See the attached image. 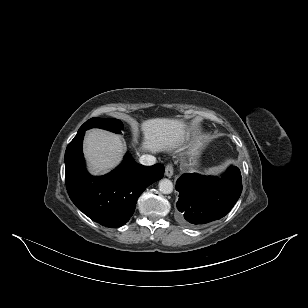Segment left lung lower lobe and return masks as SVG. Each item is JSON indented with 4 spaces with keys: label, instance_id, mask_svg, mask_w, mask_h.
Wrapping results in <instances>:
<instances>
[{
    "label": "left lung lower lobe",
    "instance_id": "obj_1",
    "mask_svg": "<svg viewBox=\"0 0 308 308\" xmlns=\"http://www.w3.org/2000/svg\"><path fill=\"white\" fill-rule=\"evenodd\" d=\"M176 190L181 221L198 226L220 219L232 209L242 192L241 174L234 166L220 179L186 173L177 180Z\"/></svg>",
    "mask_w": 308,
    "mask_h": 308
}]
</instances>
